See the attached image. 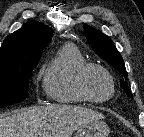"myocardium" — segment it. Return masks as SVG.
<instances>
[{
	"instance_id": "myocardium-1",
	"label": "myocardium",
	"mask_w": 144,
	"mask_h": 137,
	"mask_svg": "<svg viewBox=\"0 0 144 137\" xmlns=\"http://www.w3.org/2000/svg\"><path fill=\"white\" fill-rule=\"evenodd\" d=\"M91 71H99L103 75H105V77L109 80V82L111 84V93L109 96L104 97V98H97V97H94L90 93L88 86H87V78ZM77 89H78L79 93L81 94V96L86 101L93 102V103H105L114 97V95L116 93V83H115V80H114L112 74L105 67H103L99 64H96V63H88L85 66H83L78 73Z\"/></svg>"
}]
</instances>
